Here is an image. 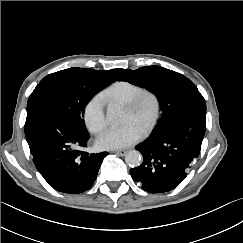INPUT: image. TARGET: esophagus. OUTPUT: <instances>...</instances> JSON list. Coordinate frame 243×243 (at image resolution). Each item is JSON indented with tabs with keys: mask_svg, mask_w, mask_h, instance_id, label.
<instances>
[{
	"mask_svg": "<svg viewBox=\"0 0 243 243\" xmlns=\"http://www.w3.org/2000/svg\"><path fill=\"white\" fill-rule=\"evenodd\" d=\"M115 153H117L120 156H124V155H126L127 150H117V151H115Z\"/></svg>",
	"mask_w": 243,
	"mask_h": 243,
	"instance_id": "1",
	"label": "esophagus"
}]
</instances>
